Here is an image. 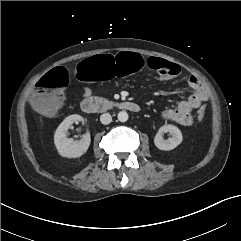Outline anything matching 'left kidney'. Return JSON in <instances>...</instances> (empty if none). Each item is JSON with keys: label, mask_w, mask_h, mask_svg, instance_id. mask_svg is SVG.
I'll return each instance as SVG.
<instances>
[{"label": "left kidney", "mask_w": 241, "mask_h": 241, "mask_svg": "<svg viewBox=\"0 0 241 241\" xmlns=\"http://www.w3.org/2000/svg\"><path fill=\"white\" fill-rule=\"evenodd\" d=\"M169 132L172 137L167 140L163 139V134ZM183 140L180 129L174 125H163L154 138L155 146L160 150L169 151L176 148Z\"/></svg>", "instance_id": "1"}]
</instances>
